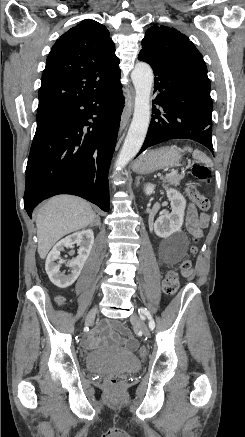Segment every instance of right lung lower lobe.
<instances>
[{"label":"right lung lower lobe","mask_w":245,"mask_h":437,"mask_svg":"<svg viewBox=\"0 0 245 437\" xmlns=\"http://www.w3.org/2000/svg\"><path fill=\"white\" fill-rule=\"evenodd\" d=\"M123 104L117 80L93 96L63 102L37 120L24 193L30 217L41 201L58 194L77 195L109 211L108 172ZM84 126H89L87 134Z\"/></svg>","instance_id":"1"}]
</instances>
